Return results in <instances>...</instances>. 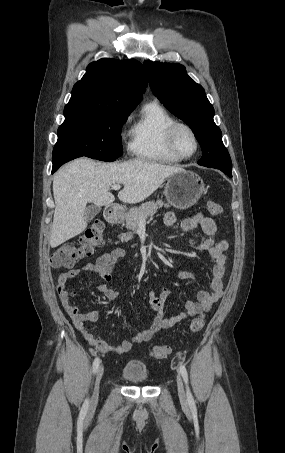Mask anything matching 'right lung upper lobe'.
I'll use <instances>...</instances> for the list:
<instances>
[{
    "instance_id": "cb5924a9",
    "label": "right lung upper lobe",
    "mask_w": 285,
    "mask_h": 453,
    "mask_svg": "<svg viewBox=\"0 0 285 453\" xmlns=\"http://www.w3.org/2000/svg\"><path fill=\"white\" fill-rule=\"evenodd\" d=\"M147 87L145 70L138 61L102 58L88 65L72 90L69 105H97L133 110Z\"/></svg>"
}]
</instances>
